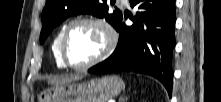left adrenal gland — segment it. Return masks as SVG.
Wrapping results in <instances>:
<instances>
[{
    "label": "left adrenal gland",
    "instance_id": "1",
    "mask_svg": "<svg viewBox=\"0 0 221 102\" xmlns=\"http://www.w3.org/2000/svg\"><path fill=\"white\" fill-rule=\"evenodd\" d=\"M124 101H125L124 98H120V99H119V102H124Z\"/></svg>",
    "mask_w": 221,
    "mask_h": 102
}]
</instances>
